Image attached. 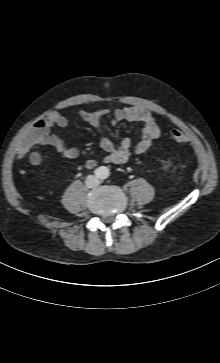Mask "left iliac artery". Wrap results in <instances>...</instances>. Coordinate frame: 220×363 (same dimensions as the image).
Instances as JSON below:
<instances>
[{"label":"left iliac artery","instance_id":"44dca946","mask_svg":"<svg viewBox=\"0 0 220 363\" xmlns=\"http://www.w3.org/2000/svg\"><path fill=\"white\" fill-rule=\"evenodd\" d=\"M107 176H108V172H105L103 177L106 178Z\"/></svg>","mask_w":220,"mask_h":363}]
</instances>
